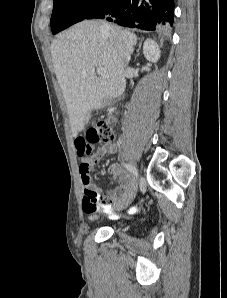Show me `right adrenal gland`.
<instances>
[{"label":"right adrenal gland","mask_w":227,"mask_h":298,"mask_svg":"<svg viewBox=\"0 0 227 298\" xmlns=\"http://www.w3.org/2000/svg\"><path fill=\"white\" fill-rule=\"evenodd\" d=\"M144 40V38H142L141 39V41H140V43H139V47H138V49H137V55H136V57L138 56V53H139V50H140V48H141V45H142V41ZM135 57V58H136Z\"/></svg>","instance_id":"2a0ac1e0"}]
</instances>
